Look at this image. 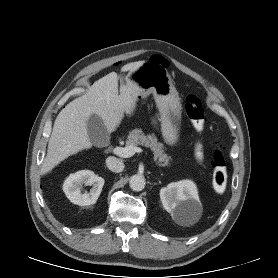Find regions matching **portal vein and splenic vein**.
Returning <instances> with one entry per match:
<instances>
[{
    "instance_id": "obj_1",
    "label": "portal vein and splenic vein",
    "mask_w": 278,
    "mask_h": 278,
    "mask_svg": "<svg viewBox=\"0 0 278 278\" xmlns=\"http://www.w3.org/2000/svg\"><path fill=\"white\" fill-rule=\"evenodd\" d=\"M136 152L141 153L142 149L134 146L116 147L113 149L114 154L123 158L132 157Z\"/></svg>"
}]
</instances>
